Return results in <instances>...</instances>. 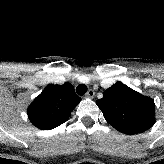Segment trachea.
Returning a JSON list of instances; mask_svg holds the SVG:
<instances>
[{
  "label": "trachea",
  "mask_w": 164,
  "mask_h": 164,
  "mask_svg": "<svg viewBox=\"0 0 164 164\" xmlns=\"http://www.w3.org/2000/svg\"><path fill=\"white\" fill-rule=\"evenodd\" d=\"M76 92L78 95L83 96L87 92V86L80 84L76 87Z\"/></svg>",
  "instance_id": "1"
}]
</instances>
